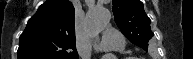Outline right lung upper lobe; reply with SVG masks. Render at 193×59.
Wrapping results in <instances>:
<instances>
[{"instance_id":"right-lung-upper-lobe-1","label":"right lung upper lobe","mask_w":193,"mask_h":59,"mask_svg":"<svg viewBox=\"0 0 193 59\" xmlns=\"http://www.w3.org/2000/svg\"><path fill=\"white\" fill-rule=\"evenodd\" d=\"M74 7L69 0H47L20 36L18 59H78Z\"/></svg>"}]
</instances>
